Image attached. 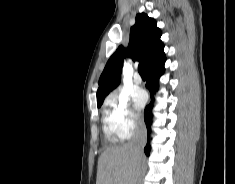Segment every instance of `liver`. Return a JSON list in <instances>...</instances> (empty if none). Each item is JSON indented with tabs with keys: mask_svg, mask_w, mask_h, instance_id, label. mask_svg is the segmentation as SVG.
I'll list each match as a JSON object with an SVG mask.
<instances>
[{
	"mask_svg": "<svg viewBox=\"0 0 235 184\" xmlns=\"http://www.w3.org/2000/svg\"><path fill=\"white\" fill-rule=\"evenodd\" d=\"M140 162L131 144L107 148L98 160L97 184H135Z\"/></svg>",
	"mask_w": 235,
	"mask_h": 184,
	"instance_id": "liver-1",
	"label": "liver"
}]
</instances>
